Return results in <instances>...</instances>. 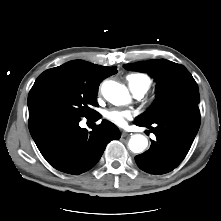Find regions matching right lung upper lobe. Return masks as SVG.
Returning <instances> with one entry per match:
<instances>
[{
	"mask_svg": "<svg viewBox=\"0 0 221 221\" xmlns=\"http://www.w3.org/2000/svg\"><path fill=\"white\" fill-rule=\"evenodd\" d=\"M117 73L116 67H105L83 60H73L61 66L44 71L35 81L28 95L29 119L40 115L35 107V93L43 83L56 77H69L88 85L97 86L103 79Z\"/></svg>",
	"mask_w": 221,
	"mask_h": 221,
	"instance_id": "obj_1",
	"label": "right lung upper lobe"
}]
</instances>
